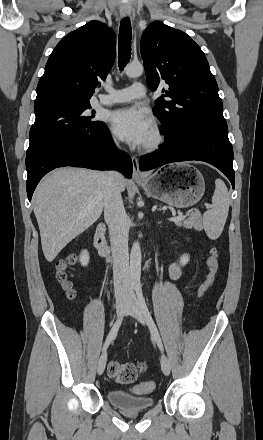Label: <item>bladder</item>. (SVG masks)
<instances>
[{
	"instance_id": "obj_1",
	"label": "bladder",
	"mask_w": 263,
	"mask_h": 440,
	"mask_svg": "<svg viewBox=\"0 0 263 440\" xmlns=\"http://www.w3.org/2000/svg\"><path fill=\"white\" fill-rule=\"evenodd\" d=\"M107 400L123 411H144L154 405L152 395H135L125 389H110L106 393Z\"/></svg>"
}]
</instances>
